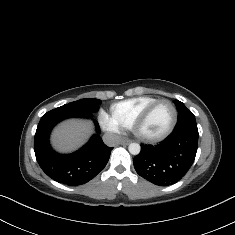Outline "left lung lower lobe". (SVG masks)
<instances>
[{
  "instance_id": "1",
  "label": "left lung lower lobe",
  "mask_w": 235,
  "mask_h": 235,
  "mask_svg": "<svg viewBox=\"0 0 235 235\" xmlns=\"http://www.w3.org/2000/svg\"><path fill=\"white\" fill-rule=\"evenodd\" d=\"M198 145V131L179 130L155 146L141 145L134 157L136 172L157 185L179 181L192 166Z\"/></svg>"
}]
</instances>
